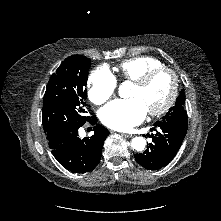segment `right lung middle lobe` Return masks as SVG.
I'll list each match as a JSON object with an SVG mask.
<instances>
[{
    "label": "right lung middle lobe",
    "instance_id": "right-lung-middle-lobe-1",
    "mask_svg": "<svg viewBox=\"0 0 221 221\" xmlns=\"http://www.w3.org/2000/svg\"><path fill=\"white\" fill-rule=\"evenodd\" d=\"M89 68V58L72 55L51 76L42 109L43 129L48 139L69 132L90 119L85 115Z\"/></svg>",
    "mask_w": 221,
    "mask_h": 221
}]
</instances>
